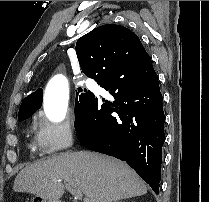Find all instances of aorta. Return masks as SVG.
<instances>
[{
	"label": "aorta",
	"instance_id": "1",
	"mask_svg": "<svg viewBox=\"0 0 209 202\" xmlns=\"http://www.w3.org/2000/svg\"><path fill=\"white\" fill-rule=\"evenodd\" d=\"M68 81L63 75L54 76L44 93V111L49 120L61 122L68 106Z\"/></svg>",
	"mask_w": 209,
	"mask_h": 202
}]
</instances>
